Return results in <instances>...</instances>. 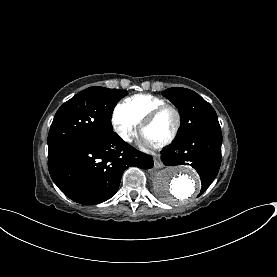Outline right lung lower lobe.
Here are the masks:
<instances>
[{
  "label": "right lung lower lobe",
  "mask_w": 277,
  "mask_h": 277,
  "mask_svg": "<svg viewBox=\"0 0 277 277\" xmlns=\"http://www.w3.org/2000/svg\"><path fill=\"white\" fill-rule=\"evenodd\" d=\"M130 166L149 169L153 159L116 133L48 148L52 180L67 197L80 204L93 205L111 198L124 170Z\"/></svg>",
  "instance_id": "right-lung-lower-lobe-1"
}]
</instances>
